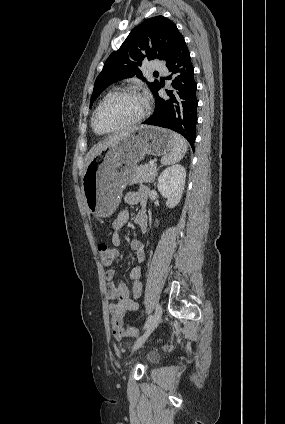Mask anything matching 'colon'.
I'll return each instance as SVG.
<instances>
[{
	"mask_svg": "<svg viewBox=\"0 0 285 424\" xmlns=\"http://www.w3.org/2000/svg\"><path fill=\"white\" fill-rule=\"evenodd\" d=\"M98 252L101 257V261L104 265H111L114 263L117 257V250L107 244L101 243L98 245ZM116 326H119V322L115 321ZM128 332L132 336H137L138 331L134 328H129Z\"/></svg>",
	"mask_w": 285,
	"mask_h": 424,
	"instance_id": "colon-1",
	"label": "colon"
}]
</instances>
